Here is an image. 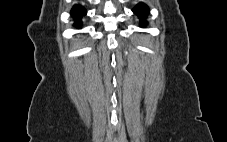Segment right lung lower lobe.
Wrapping results in <instances>:
<instances>
[{
  "label": "right lung lower lobe",
  "mask_w": 227,
  "mask_h": 142,
  "mask_svg": "<svg viewBox=\"0 0 227 142\" xmlns=\"http://www.w3.org/2000/svg\"><path fill=\"white\" fill-rule=\"evenodd\" d=\"M71 14L76 21L75 26L80 27L81 26V18H82L83 15L86 14V10L80 5H75L71 10Z\"/></svg>",
  "instance_id": "98d812e1"
}]
</instances>
